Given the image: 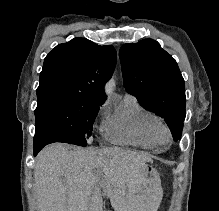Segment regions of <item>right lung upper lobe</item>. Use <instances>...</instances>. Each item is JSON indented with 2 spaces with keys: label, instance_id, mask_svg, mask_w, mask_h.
I'll list each match as a JSON object with an SVG mask.
<instances>
[{
  "label": "right lung upper lobe",
  "instance_id": "1",
  "mask_svg": "<svg viewBox=\"0 0 219 211\" xmlns=\"http://www.w3.org/2000/svg\"><path fill=\"white\" fill-rule=\"evenodd\" d=\"M113 46L84 38L57 45L45 58L37 95L64 93L104 102V85L116 64Z\"/></svg>",
  "mask_w": 219,
  "mask_h": 211
}]
</instances>
